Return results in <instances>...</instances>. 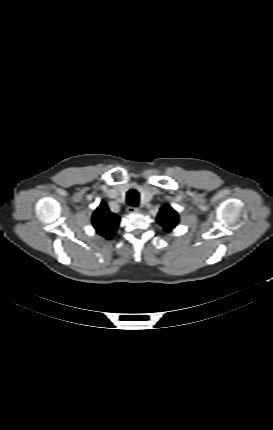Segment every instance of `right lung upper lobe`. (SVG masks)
<instances>
[{
  "instance_id": "obj_1",
  "label": "right lung upper lobe",
  "mask_w": 273,
  "mask_h": 430,
  "mask_svg": "<svg viewBox=\"0 0 273 430\" xmlns=\"http://www.w3.org/2000/svg\"><path fill=\"white\" fill-rule=\"evenodd\" d=\"M119 220L116 214L109 211L105 203H101L92 216V225L98 234L110 239L116 232Z\"/></svg>"
}]
</instances>
